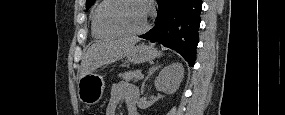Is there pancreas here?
I'll list each match as a JSON object with an SVG mask.
<instances>
[{"label": "pancreas", "mask_w": 285, "mask_h": 115, "mask_svg": "<svg viewBox=\"0 0 285 115\" xmlns=\"http://www.w3.org/2000/svg\"><path fill=\"white\" fill-rule=\"evenodd\" d=\"M141 75V70L126 71L118 75L125 81H138Z\"/></svg>", "instance_id": "1"}]
</instances>
